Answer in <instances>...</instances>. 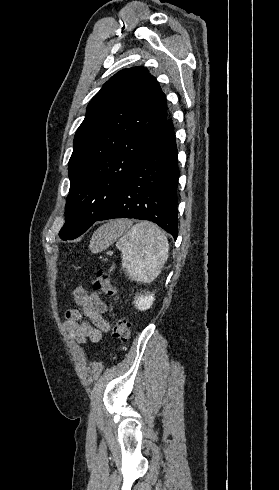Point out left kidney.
Masks as SVG:
<instances>
[{
	"instance_id": "1",
	"label": "left kidney",
	"mask_w": 279,
	"mask_h": 490,
	"mask_svg": "<svg viewBox=\"0 0 279 490\" xmlns=\"http://www.w3.org/2000/svg\"><path fill=\"white\" fill-rule=\"evenodd\" d=\"M154 300L155 294H152V292H147V294H137V296L134 298L135 308H137V310H141V312H144V310H149Z\"/></svg>"
}]
</instances>
